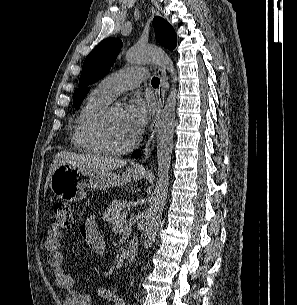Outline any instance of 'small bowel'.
Segmentation results:
<instances>
[{
	"mask_svg": "<svg viewBox=\"0 0 297 305\" xmlns=\"http://www.w3.org/2000/svg\"><path fill=\"white\" fill-rule=\"evenodd\" d=\"M80 234L90 248L98 254L106 250V243L98 232V225L94 217L85 220L80 228ZM62 233L50 230L47 233L45 247L48 251V265L52 270L54 280L58 287L67 291L64 305H94L91 295L74 290V278L69 274L64 266L65 257L61 251ZM95 295L109 300L113 305H125L124 301L116 294L115 290L99 287L94 291Z\"/></svg>",
	"mask_w": 297,
	"mask_h": 305,
	"instance_id": "obj_1",
	"label": "small bowel"
}]
</instances>
